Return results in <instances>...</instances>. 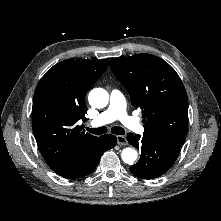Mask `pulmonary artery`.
<instances>
[{
    "instance_id": "pulmonary-artery-1",
    "label": "pulmonary artery",
    "mask_w": 221,
    "mask_h": 221,
    "mask_svg": "<svg viewBox=\"0 0 221 221\" xmlns=\"http://www.w3.org/2000/svg\"><path fill=\"white\" fill-rule=\"evenodd\" d=\"M115 120H120L128 129L142 134L144 127L134 117L127 114L126 102L124 96L119 90H112L110 94V104L108 108L95 117L90 124L93 127H98L111 123Z\"/></svg>"
}]
</instances>
